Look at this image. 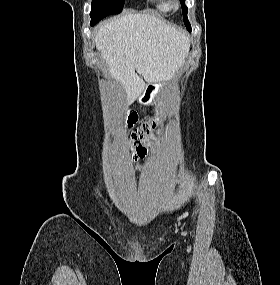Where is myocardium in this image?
<instances>
[{
  "mask_svg": "<svg viewBox=\"0 0 280 285\" xmlns=\"http://www.w3.org/2000/svg\"><path fill=\"white\" fill-rule=\"evenodd\" d=\"M180 6V1L179 0H173L172 1V7L173 8H178Z\"/></svg>",
  "mask_w": 280,
  "mask_h": 285,
  "instance_id": "obj_1",
  "label": "myocardium"
}]
</instances>
